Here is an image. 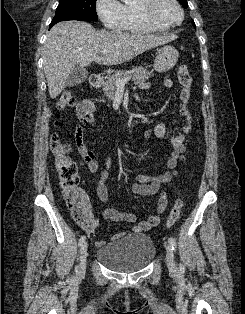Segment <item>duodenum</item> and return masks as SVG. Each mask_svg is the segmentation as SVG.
I'll return each instance as SVG.
<instances>
[{
    "label": "duodenum",
    "mask_w": 245,
    "mask_h": 314,
    "mask_svg": "<svg viewBox=\"0 0 245 314\" xmlns=\"http://www.w3.org/2000/svg\"><path fill=\"white\" fill-rule=\"evenodd\" d=\"M101 77L98 75H91L89 78V83L93 88H99L101 86Z\"/></svg>",
    "instance_id": "duodenum-1"
}]
</instances>
